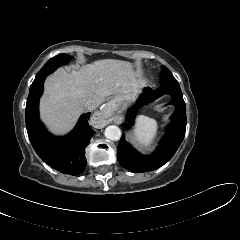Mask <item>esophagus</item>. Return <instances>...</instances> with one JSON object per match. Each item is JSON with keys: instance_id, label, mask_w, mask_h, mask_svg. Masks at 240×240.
Wrapping results in <instances>:
<instances>
[{"instance_id": "34e87169", "label": "esophagus", "mask_w": 240, "mask_h": 240, "mask_svg": "<svg viewBox=\"0 0 240 240\" xmlns=\"http://www.w3.org/2000/svg\"><path fill=\"white\" fill-rule=\"evenodd\" d=\"M113 105L111 103H108L104 108L103 110L98 114V121L99 123H101V125L105 126L107 124H109L112 119H109L112 114H113Z\"/></svg>"}]
</instances>
